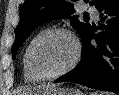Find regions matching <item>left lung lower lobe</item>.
Returning a JSON list of instances; mask_svg holds the SVG:
<instances>
[{
	"instance_id": "0a47b994",
	"label": "left lung lower lobe",
	"mask_w": 119,
	"mask_h": 95,
	"mask_svg": "<svg viewBox=\"0 0 119 95\" xmlns=\"http://www.w3.org/2000/svg\"><path fill=\"white\" fill-rule=\"evenodd\" d=\"M97 9L102 32L95 34L96 28L90 27L82 39L80 63L55 82L79 83L119 95V0H104Z\"/></svg>"
}]
</instances>
